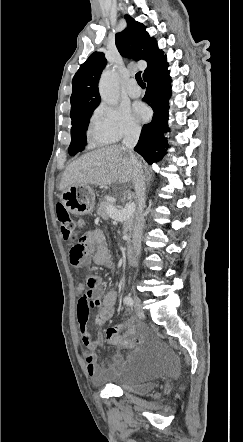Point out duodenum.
Here are the masks:
<instances>
[{
	"label": "duodenum",
	"instance_id": "obj_1",
	"mask_svg": "<svg viewBox=\"0 0 243 442\" xmlns=\"http://www.w3.org/2000/svg\"><path fill=\"white\" fill-rule=\"evenodd\" d=\"M126 257H127L129 264L135 265L137 263L135 252L131 247L127 248Z\"/></svg>",
	"mask_w": 243,
	"mask_h": 442
}]
</instances>
